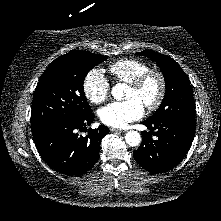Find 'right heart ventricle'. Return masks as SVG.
I'll return each instance as SVG.
<instances>
[{"instance_id":"e07e8e85","label":"right heart ventricle","mask_w":221,"mask_h":221,"mask_svg":"<svg viewBox=\"0 0 221 221\" xmlns=\"http://www.w3.org/2000/svg\"><path fill=\"white\" fill-rule=\"evenodd\" d=\"M148 69L149 66L146 62L132 58L117 60L108 67V71L112 77L116 81L123 83H130Z\"/></svg>"}]
</instances>
